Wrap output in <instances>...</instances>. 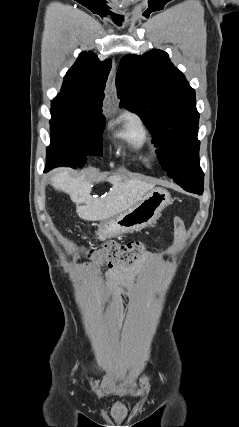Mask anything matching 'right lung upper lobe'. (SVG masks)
Returning a JSON list of instances; mask_svg holds the SVG:
<instances>
[{
	"mask_svg": "<svg viewBox=\"0 0 239 427\" xmlns=\"http://www.w3.org/2000/svg\"><path fill=\"white\" fill-rule=\"evenodd\" d=\"M111 66L110 59L100 62L93 52L81 53L65 75L61 93L51 104L102 113L103 91Z\"/></svg>",
	"mask_w": 239,
	"mask_h": 427,
	"instance_id": "cb5924a9",
	"label": "right lung upper lobe"
}]
</instances>
